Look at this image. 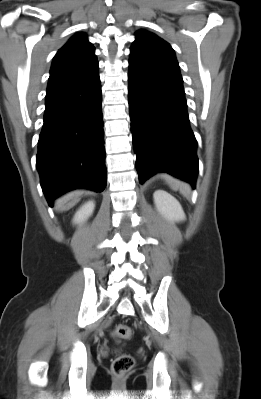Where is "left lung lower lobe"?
<instances>
[{
	"label": "left lung lower lobe",
	"instance_id": "1",
	"mask_svg": "<svg viewBox=\"0 0 261 399\" xmlns=\"http://www.w3.org/2000/svg\"><path fill=\"white\" fill-rule=\"evenodd\" d=\"M128 95L139 182L167 172L195 188L197 142L182 80L129 66Z\"/></svg>",
	"mask_w": 261,
	"mask_h": 399
}]
</instances>
